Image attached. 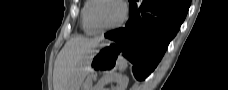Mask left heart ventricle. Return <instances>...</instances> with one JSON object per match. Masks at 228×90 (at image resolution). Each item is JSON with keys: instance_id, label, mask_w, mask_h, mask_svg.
Returning <instances> with one entry per match:
<instances>
[{"instance_id": "1", "label": "left heart ventricle", "mask_w": 228, "mask_h": 90, "mask_svg": "<svg viewBox=\"0 0 228 90\" xmlns=\"http://www.w3.org/2000/svg\"><path fill=\"white\" fill-rule=\"evenodd\" d=\"M121 16V7L112 0H102L96 4L94 9V19L99 27H107L115 22Z\"/></svg>"}]
</instances>
